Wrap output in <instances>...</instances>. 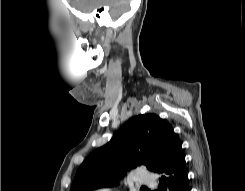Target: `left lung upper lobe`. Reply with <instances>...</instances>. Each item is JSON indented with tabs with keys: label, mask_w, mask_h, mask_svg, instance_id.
<instances>
[{
	"label": "left lung upper lobe",
	"mask_w": 245,
	"mask_h": 191,
	"mask_svg": "<svg viewBox=\"0 0 245 191\" xmlns=\"http://www.w3.org/2000/svg\"><path fill=\"white\" fill-rule=\"evenodd\" d=\"M179 148L181 142L167 121L153 113L134 116L106 145L85 159L70 191L112 187L127 171L142 165L158 173Z\"/></svg>",
	"instance_id": "1"
}]
</instances>
